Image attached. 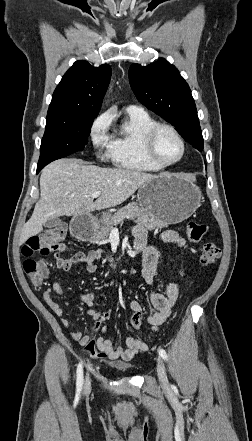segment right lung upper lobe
<instances>
[{
  "mask_svg": "<svg viewBox=\"0 0 252 441\" xmlns=\"http://www.w3.org/2000/svg\"><path fill=\"white\" fill-rule=\"evenodd\" d=\"M111 77L107 64L91 66L76 61L55 89L48 112L98 115Z\"/></svg>",
  "mask_w": 252,
  "mask_h": 441,
  "instance_id": "obj_1",
  "label": "right lung upper lobe"
}]
</instances>
